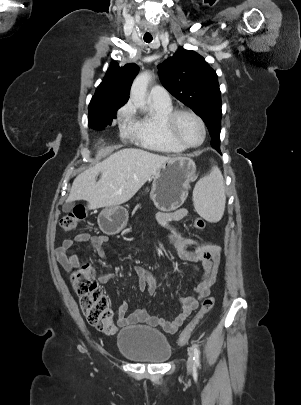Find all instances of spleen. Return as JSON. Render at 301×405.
<instances>
[{
    "mask_svg": "<svg viewBox=\"0 0 301 405\" xmlns=\"http://www.w3.org/2000/svg\"><path fill=\"white\" fill-rule=\"evenodd\" d=\"M194 202L199 214L210 222L219 221L225 209V186L220 170L200 179L193 192Z\"/></svg>",
    "mask_w": 301,
    "mask_h": 405,
    "instance_id": "3e777b00",
    "label": "spleen"
}]
</instances>
